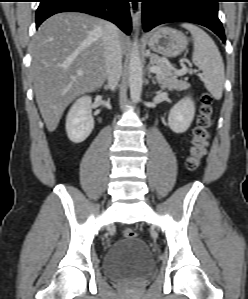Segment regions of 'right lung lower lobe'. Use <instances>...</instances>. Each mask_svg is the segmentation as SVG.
<instances>
[{
    "label": "right lung lower lobe",
    "mask_w": 248,
    "mask_h": 299,
    "mask_svg": "<svg viewBox=\"0 0 248 299\" xmlns=\"http://www.w3.org/2000/svg\"><path fill=\"white\" fill-rule=\"evenodd\" d=\"M129 0H40L36 28L48 17L60 12H83L109 20L127 35L131 31Z\"/></svg>",
    "instance_id": "right-lung-lower-lobe-1"
}]
</instances>
